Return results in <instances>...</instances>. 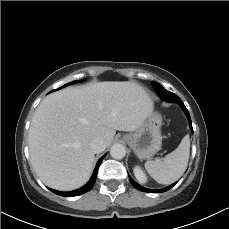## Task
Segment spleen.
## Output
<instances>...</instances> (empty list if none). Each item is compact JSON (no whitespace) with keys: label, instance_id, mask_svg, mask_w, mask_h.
I'll use <instances>...</instances> for the list:
<instances>
[{"label":"spleen","instance_id":"3e777b00","mask_svg":"<svg viewBox=\"0 0 229 229\" xmlns=\"http://www.w3.org/2000/svg\"><path fill=\"white\" fill-rule=\"evenodd\" d=\"M190 151V139L186 135L179 146L162 159L145 163L149 175L160 184H171L177 181L186 170Z\"/></svg>","mask_w":229,"mask_h":229}]
</instances>
